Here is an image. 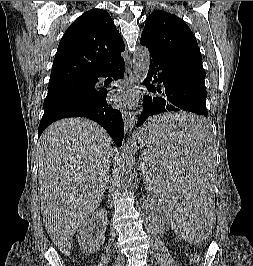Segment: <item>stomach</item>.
<instances>
[{
	"label": "stomach",
	"instance_id": "stomach-1",
	"mask_svg": "<svg viewBox=\"0 0 253 266\" xmlns=\"http://www.w3.org/2000/svg\"><path fill=\"white\" fill-rule=\"evenodd\" d=\"M146 138H153V135H150V132H145V126H144L137 133V139L142 145V147H144V150H145V139Z\"/></svg>",
	"mask_w": 253,
	"mask_h": 266
}]
</instances>
